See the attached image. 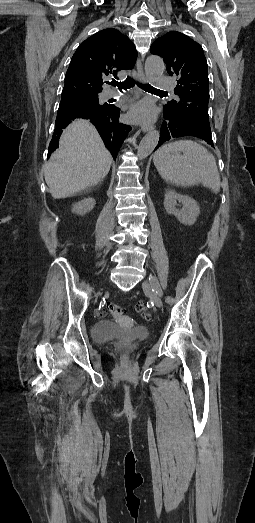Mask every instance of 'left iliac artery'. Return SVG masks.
<instances>
[{
    "label": "left iliac artery",
    "mask_w": 255,
    "mask_h": 523,
    "mask_svg": "<svg viewBox=\"0 0 255 523\" xmlns=\"http://www.w3.org/2000/svg\"><path fill=\"white\" fill-rule=\"evenodd\" d=\"M152 290L156 292V294H158L159 296L163 295L162 289L158 288L157 286L152 285Z\"/></svg>",
    "instance_id": "1"
}]
</instances>
